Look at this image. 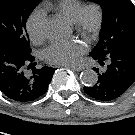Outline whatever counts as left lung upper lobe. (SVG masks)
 <instances>
[{"label": "left lung upper lobe", "instance_id": "1", "mask_svg": "<svg viewBox=\"0 0 135 135\" xmlns=\"http://www.w3.org/2000/svg\"><path fill=\"white\" fill-rule=\"evenodd\" d=\"M101 5L103 24L100 40L91 52L106 56L111 51L122 48H135V6L130 0H89Z\"/></svg>", "mask_w": 135, "mask_h": 135}]
</instances>
